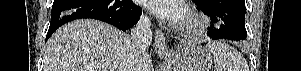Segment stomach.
I'll list each match as a JSON object with an SVG mask.
<instances>
[{"instance_id":"stomach-1","label":"stomach","mask_w":301,"mask_h":71,"mask_svg":"<svg viewBox=\"0 0 301 71\" xmlns=\"http://www.w3.org/2000/svg\"><path fill=\"white\" fill-rule=\"evenodd\" d=\"M212 65L210 53L200 46H195L176 55L173 71H210Z\"/></svg>"}]
</instances>
